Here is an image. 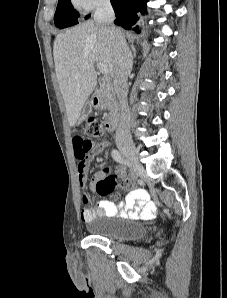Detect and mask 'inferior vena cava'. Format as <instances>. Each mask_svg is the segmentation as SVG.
Instances as JSON below:
<instances>
[{
	"label": "inferior vena cava",
	"instance_id": "obj_1",
	"mask_svg": "<svg viewBox=\"0 0 227 298\" xmlns=\"http://www.w3.org/2000/svg\"><path fill=\"white\" fill-rule=\"evenodd\" d=\"M114 10L109 0H102L94 13V21L112 40L114 54L113 84L120 104V122L116 130V140H127L129 133V108L127 103V79L132 70L133 56L124 36L114 27Z\"/></svg>",
	"mask_w": 227,
	"mask_h": 298
}]
</instances>
